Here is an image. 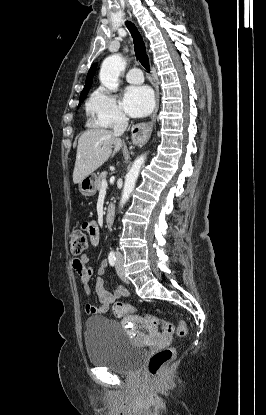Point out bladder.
<instances>
[{
  "instance_id": "1",
  "label": "bladder",
  "mask_w": 266,
  "mask_h": 415,
  "mask_svg": "<svg viewBox=\"0 0 266 415\" xmlns=\"http://www.w3.org/2000/svg\"><path fill=\"white\" fill-rule=\"evenodd\" d=\"M84 343L92 365L121 374L136 372L146 354V349L135 344L119 322L102 316L86 320Z\"/></svg>"
}]
</instances>
